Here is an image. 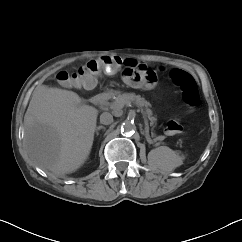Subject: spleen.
I'll return each instance as SVG.
<instances>
[{"label":"spleen","instance_id":"spleen-1","mask_svg":"<svg viewBox=\"0 0 242 242\" xmlns=\"http://www.w3.org/2000/svg\"><path fill=\"white\" fill-rule=\"evenodd\" d=\"M177 161L175 152L170 148L161 146L157 149V164L160 168L170 171L176 166Z\"/></svg>","mask_w":242,"mask_h":242}]
</instances>
